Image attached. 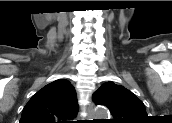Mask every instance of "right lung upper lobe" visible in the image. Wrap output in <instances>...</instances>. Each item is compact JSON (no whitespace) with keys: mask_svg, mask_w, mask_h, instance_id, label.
<instances>
[{"mask_svg":"<svg viewBox=\"0 0 172 123\" xmlns=\"http://www.w3.org/2000/svg\"><path fill=\"white\" fill-rule=\"evenodd\" d=\"M79 109L74 87L68 80L51 82L40 89L23 109L19 123H68Z\"/></svg>","mask_w":172,"mask_h":123,"instance_id":"obj_1","label":"right lung upper lobe"}]
</instances>
